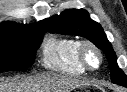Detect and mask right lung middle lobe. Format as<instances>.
Here are the masks:
<instances>
[{"label":"right lung middle lobe","mask_w":127,"mask_h":92,"mask_svg":"<svg viewBox=\"0 0 127 92\" xmlns=\"http://www.w3.org/2000/svg\"><path fill=\"white\" fill-rule=\"evenodd\" d=\"M44 33L45 30H39L24 36H0V72L29 68Z\"/></svg>","instance_id":"right-lung-middle-lobe-1"}]
</instances>
